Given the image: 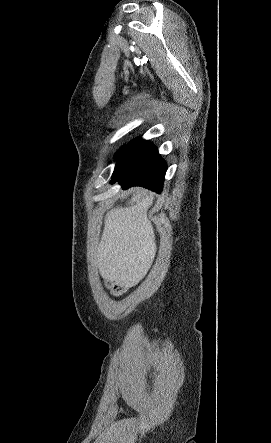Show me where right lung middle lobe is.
I'll return each mask as SVG.
<instances>
[{"label":"right lung middle lobe","mask_w":271,"mask_h":443,"mask_svg":"<svg viewBox=\"0 0 271 443\" xmlns=\"http://www.w3.org/2000/svg\"><path fill=\"white\" fill-rule=\"evenodd\" d=\"M121 149L116 153V155H115V157L117 158L119 155H120V153H121Z\"/></svg>","instance_id":"right-lung-middle-lobe-1"}]
</instances>
